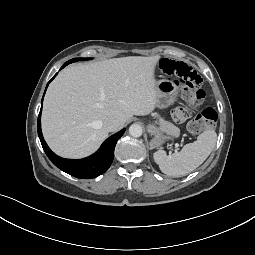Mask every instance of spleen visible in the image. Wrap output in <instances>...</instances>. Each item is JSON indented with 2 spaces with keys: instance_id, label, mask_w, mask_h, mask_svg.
Here are the masks:
<instances>
[{
  "instance_id": "1",
  "label": "spleen",
  "mask_w": 255,
  "mask_h": 255,
  "mask_svg": "<svg viewBox=\"0 0 255 255\" xmlns=\"http://www.w3.org/2000/svg\"><path fill=\"white\" fill-rule=\"evenodd\" d=\"M217 134L215 130H205L193 143L186 144L180 152L167 155L158 150L153 158L160 170L169 176H185L199 167L215 147Z\"/></svg>"
}]
</instances>
